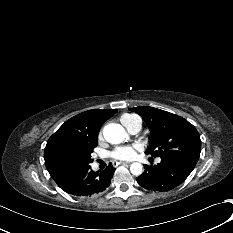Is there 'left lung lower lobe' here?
Masks as SVG:
<instances>
[{
  "label": "left lung lower lobe",
  "mask_w": 233,
  "mask_h": 233,
  "mask_svg": "<svg viewBox=\"0 0 233 233\" xmlns=\"http://www.w3.org/2000/svg\"><path fill=\"white\" fill-rule=\"evenodd\" d=\"M155 166L144 165L145 171L136 178L138 184L151 191H169L180 185L194 167L172 157L162 156Z\"/></svg>",
  "instance_id": "1"
}]
</instances>
